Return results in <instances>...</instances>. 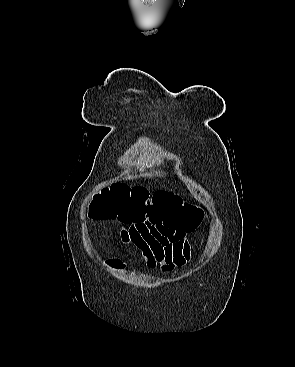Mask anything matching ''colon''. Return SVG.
Here are the masks:
<instances>
[{"mask_svg": "<svg viewBox=\"0 0 295 367\" xmlns=\"http://www.w3.org/2000/svg\"><path fill=\"white\" fill-rule=\"evenodd\" d=\"M90 215L94 219H118L124 223L166 221L189 232L203 218L200 208L172 193L160 191L150 196L143 187L121 183L105 188L97 196Z\"/></svg>", "mask_w": 295, "mask_h": 367, "instance_id": "1", "label": "colon"}]
</instances>
